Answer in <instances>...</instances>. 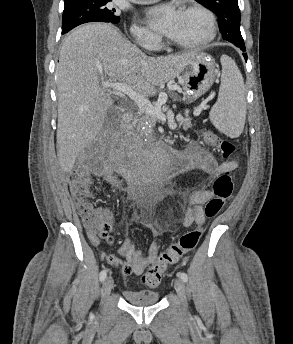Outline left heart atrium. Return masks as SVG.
I'll list each match as a JSON object with an SVG mask.
<instances>
[{"mask_svg": "<svg viewBox=\"0 0 293 344\" xmlns=\"http://www.w3.org/2000/svg\"><path fill=\"white\" fill-rule=\"evenodd\" d=\"M179 11L171 5L149 8L145 13L148 25L157 32L169 36L177 23Z\"/></svg>", "mask_w": 293, "mask_h": 344, "instance_id": "39dd6f15", "label": "left heart atrium"}]
</instances>
